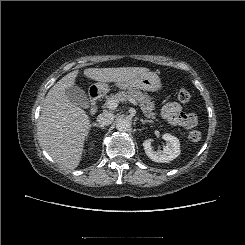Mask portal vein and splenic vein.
I'll use <instances>...</instances> for the list:
<instances>
[{"mask_svg": "<svg viewBox=\"0 0 245 245\" xmlns=\"http://www.w3.org/2000/svg\"><path fill=\"white\" fill-rule=\"evenodd\" d=\"M127 100H128L129 102H131L132 104H134L135 106H138V103L136 102L135 99H133V98H128ZM117 106H118V101H117V100H110V101L107 102V108H108L109 110H114V109L117 108Z\"/></svg>", "mask_w": 245, "mask_h": 245, "instance_id": "portal-vein-and-splenic-vein-1", "label": "portal vein and splenic vein"}]
</instances>
